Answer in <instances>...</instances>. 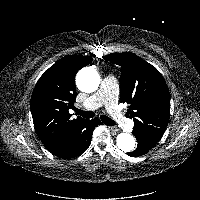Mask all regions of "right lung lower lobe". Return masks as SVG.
I'll return each mask as SVG.
<instances>
[{
  "instance_id": "right-lung-lower-lobe-1",
  "label": "right lung lower lobe",
  "mask_w": 200,
  "mask_h": 200,
  "mask_svg": "<svg viewBox=\"0 0 200 200\" xmlns=\"http://www.w3.org/2000/svg\"><path fill=\"white\" fill-rule=\"evenodd\" d=\"M98 124H101L98 118L84 120L66 144L62 148L51 153L63 159H70L80 155L89 147L93 130Z\"/></svg>"
}]
</instances>
